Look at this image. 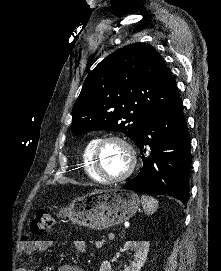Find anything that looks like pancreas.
Instances as JSON below:
<instances>
[{
  "mask_svg": "<svg viewBox=\"0 0 221 271\" xmlns=\"http://www.w3.org/2000/svg\"><path fill=\"white\" fill-rule=\"evenodd\" d=\"M90 242L94 247H105L106 244H109V239H91Z\"/></svg>",
  "mask_w": 221,
  "mask_h": 271,
  "instance_id": "pancreas-1",
  "label": "pancreas"
}]
</instances>
